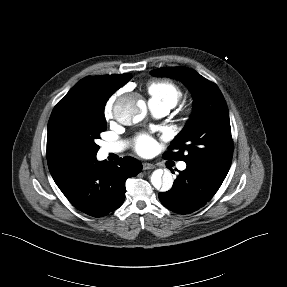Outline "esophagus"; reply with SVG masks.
<instances>
[{
    "label": "esophagus",
    "mask_w": 287,
    "mask_h": 287,
    "mask_svg": "<svg viewBox=\"0 0 287 287\" xmlns=\"http://www.w3.org/2000/svg\"><path fill=\"white\" fill-rule=\"evenodd\" d=\"M155 165L151 164V163H143V170H150V169H154Z\"/></svg>",
    "instance_id": "obj_1"
}]
</instances>
